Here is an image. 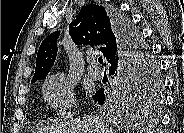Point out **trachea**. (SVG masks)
<instances>
[{
	"label": "trachea",
	"mask_w": 184,
	"mask_h": 133,
	"mask_svg": "<svg viewBox=\"0 0 184 133\" xmlns=\"http://www.w3.org/2000/svg\"><path fill=\"white\" fill-rule=\"evenodd\" d=\"M98 62L102 64L103 63V58L102 57H99L98 58Z\"/></svg>",
	"instance_id": "trachea-1"
}]
</instances>
